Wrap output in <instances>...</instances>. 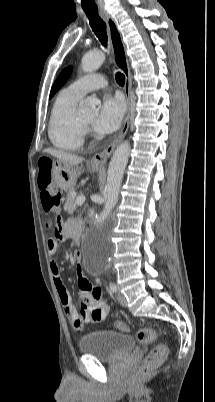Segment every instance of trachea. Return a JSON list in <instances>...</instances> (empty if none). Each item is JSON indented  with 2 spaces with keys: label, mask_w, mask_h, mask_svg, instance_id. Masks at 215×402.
<instances>
[{
  "label": "trachea",
  "mask_w": 215,
  "mask_h": 402,
  "mask_svg": "<svg viewBox=\"0 0 215 402\" xmlns=\"http://www.w3.org/2000/svg\"><path fill=\"white\" fill-rule=\"evenodd\" d=\"M88 19L90 26L95 33V35L98 37L100 42L102 43L103 46H107V33H106V24L105 22L99 17L98 10L97 9H84ZM116 82L123 86L125 83V76L117 72L116 73Z\"/></svg>",
  "instance_id": "obj_1"
}]
</instances>
